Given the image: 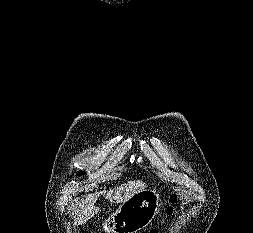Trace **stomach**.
<instances>
[{"mask_svg": "<svg viewBox=\"0 0 253 233\" xmlns=\"http://www.w3.org/2000/svg\"><path fill=\"white\" fill-rule=\"evenodd\" d=\"M160 205L161 199L155 190L143 189L122 202L103 229L108 233H137L152 222Z\"/></svg>", "mask_w": 253, "mask_h": 233, "instance_id": "obj_1", "label": "stomach"}]
</instances>
